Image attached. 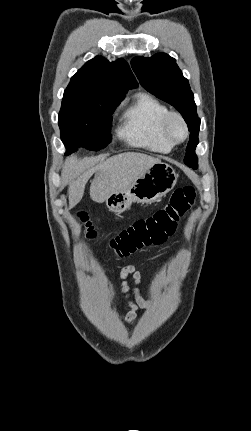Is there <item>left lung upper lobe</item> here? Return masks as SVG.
<instances>
[{
    "mask_svg": "<svg viewBox=\"0 0 251 431\" xmlns=\"http://www.w3.org/2000/svg\"><path fill=\"white\" fill-rule=\"evenodd\" d=\"M131 65L147 91L171 104L182 114L191 131L184 163L196 169L198 159L195 148L199 142L200 119L189 82L183 77L176 60L165 53H157L148 58L137 56L132 59Z\"/></svg>",
    "mask_w": 251,
    "mask_h": 431,
    "instance_id": "left-lung-upper-lobe-1",
    "label": "left lung upper lobe"
}]
</instances>
